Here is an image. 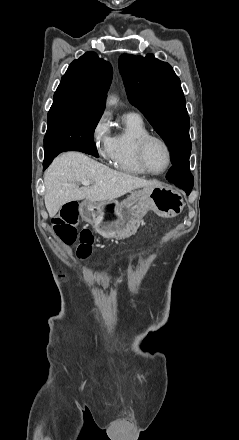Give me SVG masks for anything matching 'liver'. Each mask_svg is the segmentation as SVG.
<instances>
[{"label":"liver","mask_w":239,"mask_h":440,"mask_svg":"<svg viewBox=\"0 0 239 440\" xmlns=\"http://www.w3.org/2000/svg\"><path fill=\"white\" fill-rule=\"evenodd\" d=\"M83 180H90L95 184L78 188L77 184ZM44 184V202L49 218H54L61 206L72 200L104 202L121 198L139 188H162L160 182H150L111 170L79 152H66L55 158L45 172Z\"/></svg>","instance_id":"obj_1"}]
</instances>
